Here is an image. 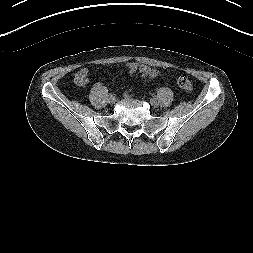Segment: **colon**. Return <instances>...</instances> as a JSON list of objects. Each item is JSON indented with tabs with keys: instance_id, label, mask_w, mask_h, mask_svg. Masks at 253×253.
Masks as SVG:
<instances>
[{
	"instance_id": "colon-1",
	"label": "colon",
	"mask_w": 253,
	"mask_h": 253,
	"mask_svg": "<svg viewBox=\"0 0 253 253\" xmlns=\"http://www.w3.org/2000/svg\"><path fill=\"white\" fill-rule=\"evenodd\" d=\"M177 85L179 86L180 89L188 93L193 90V85L191 81L184 76H180L177 78Z\"/></svg>"
}]
</instances>
